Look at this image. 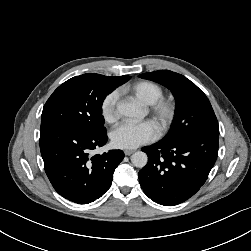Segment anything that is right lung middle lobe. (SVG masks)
I'll list each match as a JSON object with an SVG mask.
<instances>
[{
	"mask_svg": "<svg viewBox=\"0 0 251 251\" xmlns=\"http://www.w3.org/2000/svg\"><path fill=\"white\" fill-rule=\"evenodd\" d=\"M122 85L112 77L87 73L61 84L44 105L41 129L52 125L75 127L85 132L106 131L102 113L105 97Z\"/></svg>",
	"mask_w": 251,
	"mask_h": 251,
	"instance_id": "dd1d6c3e",
	"label": "right lung middle lobe"
}]
</instances>
